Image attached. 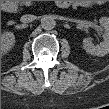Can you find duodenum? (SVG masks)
<instances>
[{"mask_svg": "<svg viewBox=\"0 0 109 109\" xmlns=\"http://www.w3.org/2000/svg\"><path fill=\"white\" fill-rule=\"evenodd\" d=\"M70 5L67 1H59V6L63 8H67ZM2 8L5 11H10L12 9V4L10 2H5L2 4Z\"/></svg>", "mask_w": 109, "mask_h": 109, "instance_id": "1", "label": "duodenum"}]
</instances>
